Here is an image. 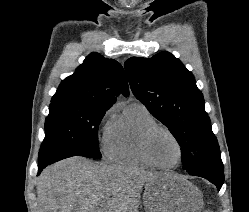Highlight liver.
<instances>
[{"label": "liver", "instance_id": "1", "mask_svg": "<svg viewBox=\"0 0 249 212\" xmlns=\"http://www.w3.org/2000/svg\"><path fill=\"white\" fill-rule=\"evenodd\" d=\"M173 174L144 172L130 166L95 164L74 156L43 170L36 182V212H138L146 182L171 180Z\"/></svg>", "mask_w": 249, "mask_h": 212}]
</instances>
